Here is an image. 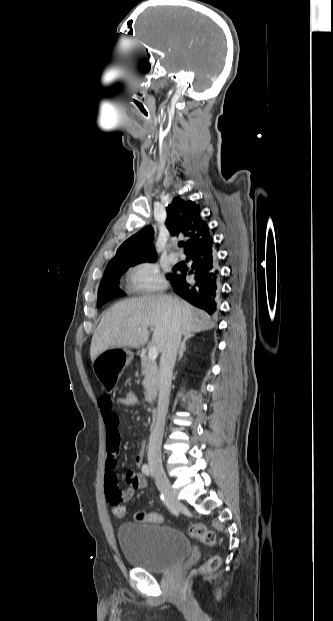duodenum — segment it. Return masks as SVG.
<instances>
[{"label":"duodenum","mask_w":333,"mask_h":621,"mask_svg":"<svg viewBox=\"0 0 333 621\" xmlns=\"http://www.w3.org/2000/svg\"><path fill=\"white\" fill-rule=\"evenodd\" d=\"M156 420H157V414L154 412L152 414V421H151V425H150L151 429H153L155 427Z\"/></svg>","instance_id":"obj_1"}]
</instances>
